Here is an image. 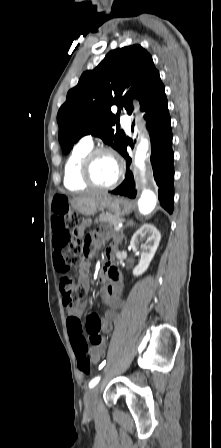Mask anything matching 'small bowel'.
I'll use <instances>...</instances> for the list:
<instances>
[{
    "mask_svg": "<svg viewBox=\"0 0 221 448\" xmlns=\"http://www.w3.org/2000/svg\"><path fill=\"white\" fill-rule=\"evenodd\" d=\"M55 219L61 220L62 215L57 214L53 210V214H52L53 233H55L54 228H53V221ZM101 243H102V238L100 236H98L97 234H95L92 238H90V246L92 247L93 251H95L101 245ZM53 247H54V243H53ZM114 250L115 249H114L113 244L108 247L107 253H106L107 264L104 267L103 272H102V277L104 279L108 280V283H106L104 285V287L102 288V291H101L102 303L107 307L106 311L104 312V315L100 318V322H101L100 330L103 333H109L112 330L113 323L115 321H117V319H118L117 311L124 307V301L121 299V293H122L121 277H120L118 270L111 263L112 253ZM109 254L111 256H109ZM79 281L83 286H85V287L88 286L87 269L86 268H83L81 270ZM85 307H86V304L81 307H75L73 309H69L68 317L69 318L73 317V318L79 319L80 316L82 315ZM69 336H70V334H69ZM79 339L86 341V338L83 335V333L79 336ZM70 341H71L72 348L74 351V346H73L71 336H70ZM105 348H106L105 342L103 339V342L100 345L92 347L90 349V356H91V359L93 362L97 363L101 359L102 355L105 352ZM74 353H75V351H74Z\"/></svg>",
    "mask_w": 221,
    "mask_h": 448,
    "instance_id": "obj_1",
    "label": "small bowel"
}]
</instances>
